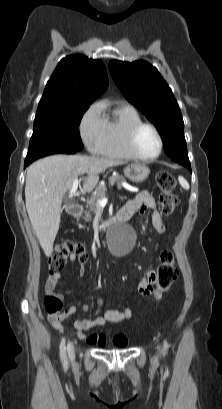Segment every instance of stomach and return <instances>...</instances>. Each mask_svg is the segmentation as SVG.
<instances>
[{"instance_id": "1", "label": "stomach", "mask_w": 222, "mask_h": 409, "mask_svg": "<svg viewBox=\"0 0 222 409\" xmlns=\"http://www.w3.org/2000/svg\"><path fill=\"white\" fill-rule=\"evenodd\" d=\"M150 173L149 168L144 164L133 163L124 169L125 176L134 182L144 181Z\"/></svg>"}]
</instances>
